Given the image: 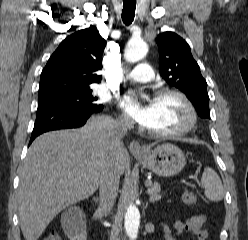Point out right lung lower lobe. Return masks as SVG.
<instances>
[{
    "instance_id": "1",
    "label": "right lung lower lobe",
    "mask_w": 248,
    "mask_h": 240,
    "mask_svg": "<svg viewBox=\"0 0 248 240\" xmlns=\"http://www.w3.org/2000/svg\"><path fill=\"white\" fill-rule=\"evenodd\" d=\"M102 110L103 105L92 109L62 105L38 106L37 117L29 144L37 136L47 131L83 126L92 114L99 113Z\"/></svg>"
}]
</instances>
